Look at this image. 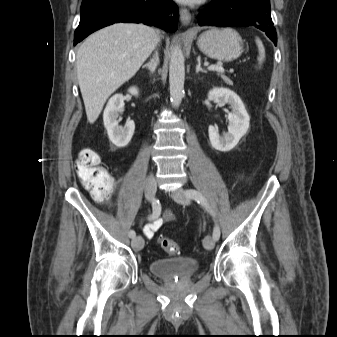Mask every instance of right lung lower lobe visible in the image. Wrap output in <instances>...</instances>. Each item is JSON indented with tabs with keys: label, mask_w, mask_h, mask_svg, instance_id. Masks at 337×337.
<instances>
[{
	"label": "right lung lower lobe",
	"mask_w": 337,
	"mask_h": 337,
	"mask_svg": "<svg viewBox=\"0 0 337 337\" xmlns=\"http://www.w3.org/2000/svg\"><path fill=\"white\" fill-rule=\"evenodd\" d=\"M178 13L172 0H83L74 45L92 32L119 22L155 25L174 32Z\"/></svg>",
	"instance_id": "obj_1"
}]
</instances>
